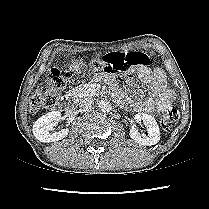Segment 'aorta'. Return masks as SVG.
Segmentation results:
<instances>
[{"label":"aorta","instance_id":"762f6f07","mask_svg":"<svg viewBox=\"0 0 209 209\" xmlns=\"http://www.w3.org/2000/svg\"><path fill=\"white\" fill-rule=\"evenodd\" d=\"M98 105L99 109L103 112H109L112 109L111 103L108 100H101Z\"/></svg>","mask_w":209,"mask_h":209}]
</instances>
